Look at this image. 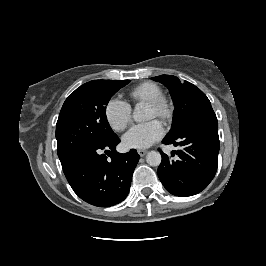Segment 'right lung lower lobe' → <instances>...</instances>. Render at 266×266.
<instances>
[{
    "instance_id": "obj_1",
    "label": "right lung lower lobe",
    "mask_w": 266,
    "mask_h": 266,
    "mask_svg": "<svg viewBox=\"0 0 266 266\" xmlns=\"http://www.w3.org/2000/svg\"><path fill=\"white\" fill-rule=\"evenodd\" d=\"M117 135L92 149L73 153L61 165L74 192L84 201L98 207H109L128 195L134 169L139 161L135 149L121 154L115 149ZM105 153H109L107 158Z\"/></svg>"
}]
</instances>
